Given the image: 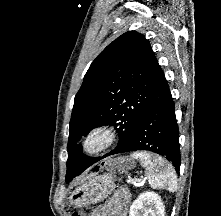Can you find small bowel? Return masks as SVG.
<instances>
[{
	"mask_svg": "<svg viewBox=\"0 0 221 216\" xmlns=\"http://www.w3.org/2000/svg\"><path fill=\"white\" fill-rule=\"evenodd\" d=\"M129 203L128 191L120 189L106 203L96 207L89 216H126Z\"/></svg>",
	"mask_w": 221,
	"mask_h": 216,
	"instance_id": "obj_1",
	"label": "small bowel"
}]
</instances>
